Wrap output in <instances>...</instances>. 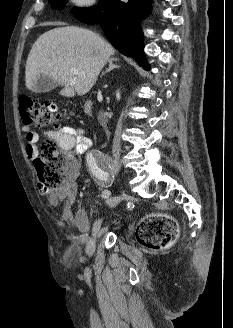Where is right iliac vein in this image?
<instances>
[{
    "label": "right iliac vein",
    "instance_id": "right-iliac-vein-1",
    "mask_svg": "<svg viewBox=\"0 0 233 328\" xmlns=\"http://www.w3.org/2000/svg\"><path fill=\"white\" fill-rule=\"evenodd\" d=\"M107 159L111 163L112 170H113L114 174H117L118 171H119L118 164L109 155H107ZM124 196H125V193L123 191H121V194L119 196L109 198L106 201V207L112 208V207L116 206L120 202V200L124 198ZM102 221H103L102 218H98L94 222V225H93V228H92V236L90 237V239H89V241L86 245V253H87L88 256H92L94 251H95L96 238H97V235L99 233Z\"/></svg>",
    "mask_w": 233,
    "mask_h": 328
}]
</instances>
